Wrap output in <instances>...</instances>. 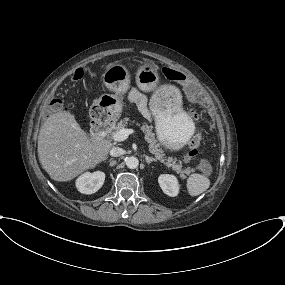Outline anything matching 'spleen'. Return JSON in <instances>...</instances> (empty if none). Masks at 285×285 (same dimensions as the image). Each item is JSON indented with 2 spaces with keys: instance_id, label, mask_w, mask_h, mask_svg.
<instances>
[{
  "instance_id": "1",
  "label": "spleen",
  "mask_w": 285,
  "mask_h": 285,
  "mask_svg": "<svg viewBox=\"0 0 285 285\" xmlns=\"http://www.w3.org/2000/svg\"><path fill=\"white\" fill-rule=\"evenodd\" d=\"M193 123V122H192ZM210 186V180L201 174H192L187 179V189L190 196H198Z\"/></svg>"
}]
</instances>
